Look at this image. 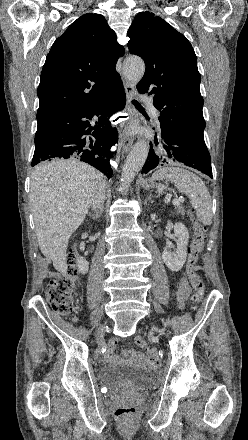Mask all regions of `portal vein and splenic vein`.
Returning a JSON list of instances; mask_svg holds the SVG:
<instances>
[{
	"instance_id": "portal-vein-and-splenic-vein-1",
	"label": "portal vein and splenic vein",
	"mask_w": 248,
	"mask_h": 440,
	"mask_svg": "<svg viewBox=\"0 0 248 440\" xmlns=\"http://www.w3.org/2000/svg\"><path fill=\"white\" fill-rule=\"evenodd\" d=\"M181 201H182V200H180V199H174V200H173V204H174V205H179Z\"/></svg>"
}]
</instances>
